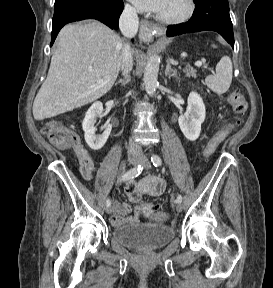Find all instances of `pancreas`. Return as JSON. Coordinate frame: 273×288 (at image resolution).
<instances>
[{
	"label": "pancreas",
	"instance_id": "1",
	"mask_svg": "<svg viewBox=\"0 0 273 288\" xmlns=\"http://www.w3.org/2000/svg\"><path fill=\"white\" fill-rule=\"evenodd\" d=\"M183 71L186 73V76H187V77L195 74V70L192 69V68H190V67L184 69Z\"/></svg>",
	"mask_w": 273,
	"mask_h": 288
}]
</instances>
